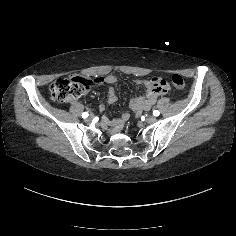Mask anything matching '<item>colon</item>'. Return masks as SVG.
Instances as JSON below:
<instances>
[{"label":"colon","mask_w":236,"mask_h":236,"mask_svg":"<svg viewBox=\"0 0 236 236\" xmlns=\"http://www.w3.org/2000/svg\"><path fill=\"white\" fill-rule=\"evenodd\" d=\"M175 88L182 90L185 82L182 76L174 74L171 77ZM159 82V84H162ZM92 81L85 76H76L70 78H61L54 81L50 86V94L53 100L59 103L67 102L71 99L83 95L91 86Z\"/></svg>","instance_id":"obj_1"}]
</instances>
